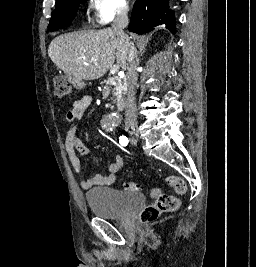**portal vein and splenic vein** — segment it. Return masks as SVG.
<instances>
[{
    "label": "portal vein and splenic vein",
    "instance_id": "18ae733b",
    "mask_svg": "<svg viewBox=\"0 0 256 267\" xmlns=\"http://www.w3.org/2000/svg\"><path fill=\"white\" fill-rule=\"evenodd\" d=\"M119 70H120L119 66H113V68H111V74H115V72H119Z\"/></svg>",
    "mask_w": 256,
    "mask_h": 267
}]
</instances>
